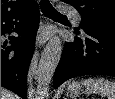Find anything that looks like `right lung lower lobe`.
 Returning a JSON list of instances; mask_svg holds the SVG:
<instances>
[{
	"label": "right lung lower lobe",
	"mask_w": 115,
	"mask_h": 99,
	"mask_svg": "<svg viewBox=\"0 0 115 99\" xmlns=\"http://www.w3.org/2000/svg\"><path fill=\"white\" fill-rule=\"evenodd\" d=\"M39 19L36 2L20 13L1 18V36L12 31L19 35L9 38V42L1 38V86L15 92L23 99L27 98V72L34 52ZM7 43L11 46H7Z\"/></svg>",
	"instance_id": "right-lung-lower-lobe-1"
}]
</instances>
